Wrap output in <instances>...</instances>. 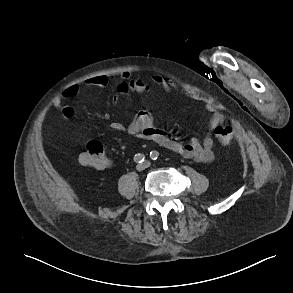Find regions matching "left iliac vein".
<instances>
[{
  "instance_id": "left-iliac-vein-1",
  "label": "left iliac vein",
  "mask_w": 293,
  "mask_h": 293,
  "mask_svg": "<svg viewBox=\"0 0 293 293\" xmlns=\"http://www.w3.org/2000/svg\"><path fill=\"white\" fill-rule=\"evenodd\" d=\"M145 166H146V167H149V166H150V163H149L148 161H146V162H145Z\"/></svg>"
}]
</instances>
